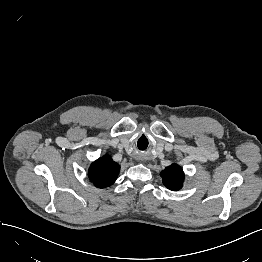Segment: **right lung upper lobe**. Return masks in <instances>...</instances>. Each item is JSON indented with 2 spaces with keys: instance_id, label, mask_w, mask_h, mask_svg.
I'll return each mask as SVG.
<instances>
[{
  "instance_id": "1",
  "label": "right lung upper lobe",
  "mask_w": 262,
  "mask_h": 262,
  "mask_svg": "<svg viewBox=\"0 0 262 262\" xmlns=\"http://www.w3.org/2000/svg\"><path fill=\"white\" fill-rule=\"evenodd\" d=\"M120 166L105 155L92 163L89 168V178L98 188H105L113 184L118 176Z\"/></svg>"
}]
</instances>
